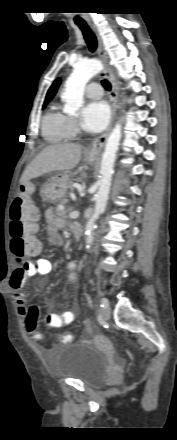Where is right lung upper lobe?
Wrapping results in <instances>:
<instances>
[{
	"mask_svg": "<svg viewBox=\"0 0 177 440\" xmlns=\"http://www.w3.org/2000/svg\"><path fill=\"white\" fill-rule=\"evenodd\" d=\"M59 85H60V79H57V80L53 83V85L50 87V89L48 90L44 102H48V101H50V100L54 97V95H55V93H56V90H57V88H58Z\"/></svg>",
	"mask_w": 177,
	"mask_h": 440,
	"instance_id": "right-lung-upper-lobe-1",
	"label": "right lung upper lobe"
}]
</instances>
